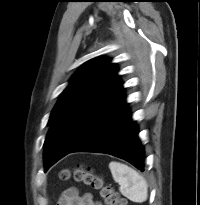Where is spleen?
<instances>
[{
	"label": "spleen",
	"instance_id": "1",
	"mask_svg": "<svg viewBox=\"0 0 200 205\" xmlns=\"http://www.w3.org/2000/svg\"><path fill=\"white\" fill-rule=\"evenodd\" d=\"M109 169L115 182L120 185L119 191L122 195L137 203H142L147 200V183L136 170L116 161L110 162Z\"/></svg>",
	"mask_w": 200,
	"mask_h": 205
}]
</instances>
